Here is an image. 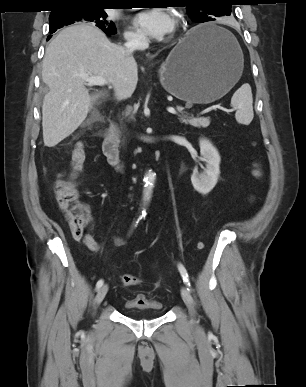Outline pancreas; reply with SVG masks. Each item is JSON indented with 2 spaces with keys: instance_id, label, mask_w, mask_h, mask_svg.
Segmentation results:
<instances>
[{
  "instance_id": "pancreas-1",
  "label": "pancreas",
  "mask_w": 306,
  "mask_h": 387,
  "mask_svg": "<svg viewBox=\"0 0 306 387\" xmlns=\"http://www.w3.org/2000/svg\"><path fill=\"white\" fill-rule=\"evenodd\" d=\"M183 107H181V106H177V110L179 111V112H182L183 111ZM203 118H194V117H190V118H180V121H181V123H184V124H186V125H191V126H193V127H196V128H206V127H208L209 125H210V120L208 119V123H206V124H203V120H202Z\"/></svg>"
}]
</instances>
